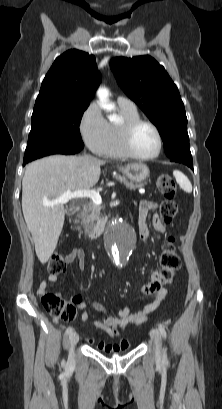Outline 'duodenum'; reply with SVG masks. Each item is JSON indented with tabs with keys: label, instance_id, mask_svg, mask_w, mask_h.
<instances>
[{
	"label": "duodenum",
	"instance_id": "1",
	"mask_svg": "<svg viewBox=\"0 0 222 409\" xmlns=\"http://www.w3.org/2000/svg\"><path fill=\"white\" fill-rule=\"evenodd\" d=\"M80 210V206L76 205L74 207L71 208V213L75 214L77 212H79ZM107 220L103 219L100 220L93 228L92 233H91V239L94 240L96 238H98L104 231V228L106 226Z\"/></svg>",
	"mask_w": 222,
	"mask_h": 409
}]
</instances>
